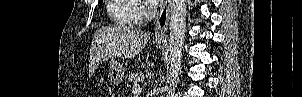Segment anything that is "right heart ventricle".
<instances>
[{"label":"right heart ventricle","mask_w":302,"mask_h":97,"mask_svg":"<svg viewBox=\"0 0 302 97\" xmlns=\"http://www.w3.org/2000/svg\"><path fill=\"white\" fill-rule=\"evenodd\" d=\"M138 8L136 0H110L107 5V13L114 24L134 27L139 22Z\"/></svg>","instance_id":"1"}]
</instances>
